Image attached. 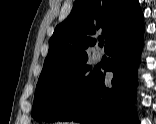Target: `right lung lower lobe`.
Returning a JSON list of instances; mask_svg holds the SVG:
<instances>
[{
    "label": "right lung lower lobe",
    "instance_id": "98d812e1",
    "mask_svg": "<svg viewBox=\"0 0 156 124\" xmlns=\"http://www.w3.org/2000/svg\"><path fill=\"white\" fill-rule=\"evenodd\" d=\"M143 32L144 26L128 31L106 50L112 57V64L108 67V71L114 73L112 87L104 85V76L100 72L81 100L59 121L139 124L134 103Z\"/></svg>",
    "mask_w": 156,
    "mask_h": 124
}]
</instances>
